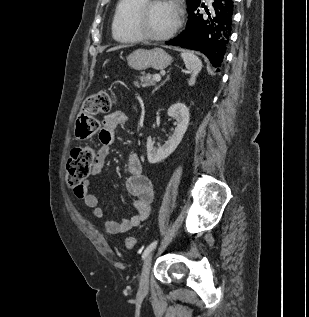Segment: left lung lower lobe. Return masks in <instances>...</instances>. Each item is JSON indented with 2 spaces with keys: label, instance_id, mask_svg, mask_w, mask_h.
<instances>
[{
  "label": "left lung lower lobe",
  "instance_id": "obj_1",
  "mask_svg": "<svg viewBox=\"0 0 309 317\" xmlns=\"http://www.w3.org/2000/svg\"><path fill=\"white\" fill-rule=\"evenodd\" d=\"M234 3V0H213L209 9L205 7L206 13H200L199 2L188 9L189 19L183 32L166 44L200 51L220 71L231 34Z\"/></svg>",
  "mask_w": 309,
  "mask_h": 317
}]
</instances>
